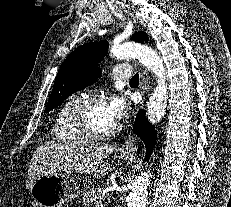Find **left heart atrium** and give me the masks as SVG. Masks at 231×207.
Segmentation results:
<instances>
[{
    "label": "left heart atrium",
    "instance_id": "left-heart-atrium-1",
    "mask_svg": "<svg viewBox=\"0 0 231 207\" xmlns=\"http://www.w3.org/2000/svg\"><path fill=\"white\" fill-rule=\"evenodd\" d=\"M104 103L110 116L116 122H118L126 114L127 104L121 96L111 95Z\"/></svg>",
    "mask_w": 231,
    "mask_h": 207
}]
</instances>
